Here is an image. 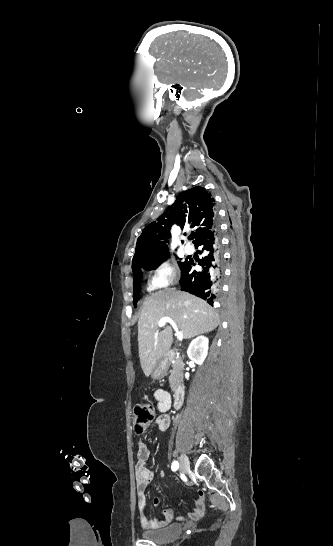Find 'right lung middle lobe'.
I'll return each instance as SVG.
<instances>
[{
    "instance_id": "1",
    "label": "right lung middle lobe",
    "mask_w": 333,
    "mask_h": 546,
    "mask_svg": "<svg viewBox=\"0 0 333 546\" xmlns=\"http://www.w3.org/2000/svg\"><path fill=\"white\" fill-rule=\"evenodd\" d=\"M168 256V253L164 256V259L165 257ZM185 262H178V265L179 267H181ZM158 266L156 267H153L149 270H152V269H156ZM140 275L141 273H138L134 276V282H133V286H134V291H133V303H136L137 300H138V296H139V282H140Z\"/></svg>"
}]
</instances>
